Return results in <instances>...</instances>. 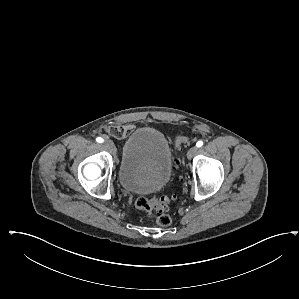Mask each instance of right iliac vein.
<instances>
[{"label": "right iliac vein", "mask_w": 299, "mask_h": 299, "mask_svg": "<svg viewBox=\"0 0 299 299\" xmlns=\"http://www.w3.org/2000/svg\"><path fill=\"white\" fill-rule=\"evenodd\" d=\"M105 147L113 154L116 155V147L110 140L104 142Z\"/></svg>", "instance_id": "obj_1"}]
</instances>
